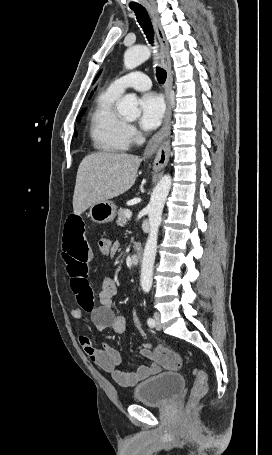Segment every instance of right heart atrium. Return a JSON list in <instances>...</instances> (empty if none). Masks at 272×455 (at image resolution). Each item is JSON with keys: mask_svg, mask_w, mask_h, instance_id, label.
Listing matches in <instances>:
<instances>
[{"mask_svg": "<svg viewBox=\"0 0 272 455\" xmlns=\"http://www.w3.org/2000/svg\"><path fill=\"white\" fill-rule=\"evenodd\" d=\"M127 132L130 140L138 141L140 139V134L134 126L127 125Z\"/></svg>", "mask_w": 272, "mask_h": 455, "instance_id": "obj_1", "label": "right heart atrium"}]
</instances>
